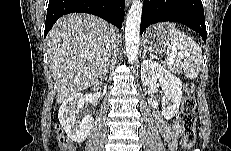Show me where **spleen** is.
Masks as SVG:
<instances>
[{
  "instance_id": "1",
  "label": "spleen",
  "mask_w": 231,
  "mask_h": 151,
  "mask_svg": "<svg viewBox=\"0 0 231 151\" xmlns=\"http://www.w3.org/2000/svg\"><path fill=\"white\" fill-rule=\"evenodd\" d=\"M170 49L171 53L179 54L175 61L181 64L185 76L196 79L202 63L201 47L186 33L175 29L171 31Z\"/></svg>"
}]
</instances>
